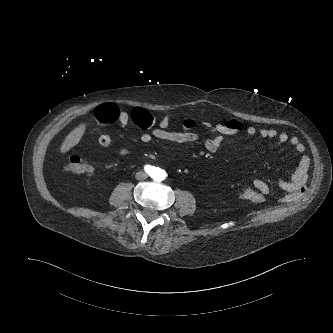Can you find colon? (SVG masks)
I'll return each instance as SVG.
<instances>
[{"label":"colon","mask_w":333,"mask_h":333,"mask_svg":"<svg viewBox=\"0 0 333 333\" xmlns=\"http://www.w3.org/2000/svg\"><path fill=\"white\" fill-rule=\"evenodd\" d=\"M119 113L120 111L115 104H103L95 110V119L98 124L107 125L118 120ZM182 129L183 131L191 134H202L209 137L219 136L225 138L227 133L231 130H242L243 124L238 120H230L224 124H202L200 128H197L194 121L185 120L182 123ZM66 169L75 174L91 173L93 170L91 164L79 155L70 156ZM241 195L244 199L253 203L260 204L265 201L264 195L253 188H244Z\"/></svg>","instance_id":"5ec220e1"}]
</instances>
